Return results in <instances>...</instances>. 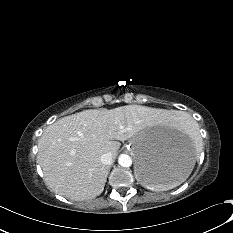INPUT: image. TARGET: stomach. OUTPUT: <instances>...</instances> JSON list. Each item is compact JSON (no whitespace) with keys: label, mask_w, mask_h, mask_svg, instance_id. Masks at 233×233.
Returning a JSON list of instances; mask_svg holds the SVG:
<instances>
[{"label":"stomach","mask_w":233,"mask_h":233,"mask_svg":"<svg viewBox=\"0 0 233 233\" xmlns=\"http://www.w3.org/2000/svg\"><path fill=\"white\" fill-rule=\"evenodd\" d=\"M135 175L147 188L169 187L187 177L196 152L187 138L159 127L143 129L130 140Z\"/></svg>","instance_id":"1"}]
</instances>
